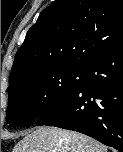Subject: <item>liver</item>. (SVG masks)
<instances>
[{"label":"liver","mask_w":123,"mask_h":152,"mask_svg":"<svg viewBox=\"0 0 123 152\" xmlns=\"http://www.w3.org/2000/svg\"><path fill=\"white\" fill-rule=\"evenodd\" d=\"M13 152H107V147L75 131L40 127L27 133Z\"/></svg>","instance_id":"liver-1"}]
</instances>
